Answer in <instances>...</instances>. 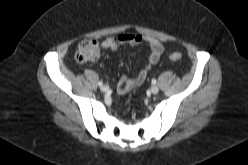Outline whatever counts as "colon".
<instances>
[{"label":"colon","instance_id":"colon-1","mask_svg":"<svg viewBox=\"0 0 248 165\" xmlns=\"http://www.w3.org/2000/svg\"><path fill=\"white\" fill-rule=\"evenodd\" d=\"M99 56V47L95 40L84 39L82 40L76 50L75 60L79 63H91L97 60ZM172 61H179L182 55L179 52L170 54Z\"/></svg>","mask_w":248,"mask_h":165}]
</instances>
